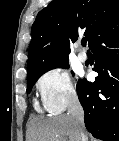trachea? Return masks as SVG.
Here are the masks:
<instances>
[{"mask_svg":"<svg viewBox=\"0 0 119 141\" xmlns=\"http://www.w3.org/2000/svg\"><path fill=\"white\" fill-rule=\"evenodd\" d=\"M81 44H82V46H86V39H83Z\"/></svg>","mask_w":119,"mask_h":141,"instance_id":"trachea-1","label":"trachea"}]
</instances>
